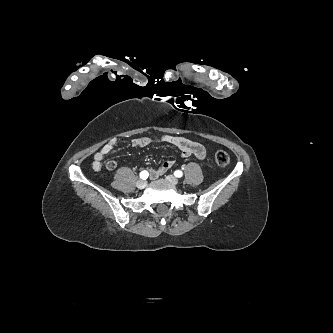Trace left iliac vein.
I'll return each instance as SVG.
<instances>
[{
	"label": "left iliac vein",
	"instance_id": "1",
	"mask_svg": "<svg viewBox=\"0 0 333 333\" xmlns=\"http://www.w3.org/2000/svg\"><path fill=\"white\" fill-rule=\"evenodd\" d=\"M166 180L168 182H170L171 184H174V185L178 184V179L175 176H173V175H168L166 177Z\"/></svg>",
	"mask_w": 333,
	"mask_h": 333
}]
</instances>
